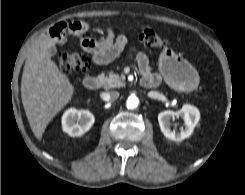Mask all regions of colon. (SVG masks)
<instances>
[{"instance_id":"5ec220e1","label":"colon","mask_w":245,"mask_h":195,"mask_svg":"<svg viewBox=\"0 0 245 195\" xmlns=\"http://www.w3.org/2000/svg\"><path fill=\"white\" fill-rule=\"evenodd\" d=\"M140 42L148 48H163L166 45L165 40L152 29H143L139 34ZM59 68L65 75H75L85 72L90 59L79 52H64L58 58Z\"/></svg>"}]
</instances>
